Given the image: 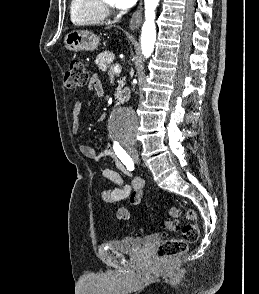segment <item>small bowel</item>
<instances>
[{
	"mask_svg": "<svg viewBox=\"0 0 259 294\" xmlns=\"http://www.w3.org/2000/svg\"><path fill=\"white\" fill-rule=\"evenodd\" d=\"M89 87L95 91L97 96H103L104 89L97 77L94 76L91 79ZM81 111L82 102L79 100L75 103L72 109V130L74 133H79L81 130ZM79 150L84 157L90 160L98 161L104 156H109L114 160L117 170L110 168L102 170L103 178L117 185L114 189H105L102 191L101 197L106 204L116 206L126 199H129L133 206H138L141 203L144 181L139 177H134L131 180H125L122 177L121 174L131 176V172L118 158L114 148L107 145L103 147L99 153H97L90 145L82 144L79 146ZM116 215L120 220H127L130 217L129 211L125 208H119Z\"/></svg>",
	"mask_w": 259,
	"mask_h": 294,
	"instance_id": "obj_1",
	"label": "small bowel"
}]
</instances>
